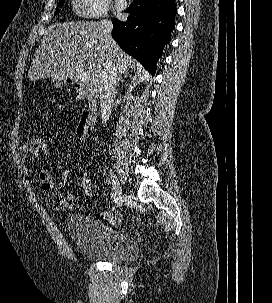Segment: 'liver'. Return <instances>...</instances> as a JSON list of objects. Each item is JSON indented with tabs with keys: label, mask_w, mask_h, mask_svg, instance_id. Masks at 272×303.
Masks as SVG:
<instances>
[{
	"label": "liver",
	"mask_w": 272,
	"mask_h": 303,
	"mask_svg": "<svg viewBox=\"0 0 272 303\" xmlns=\"http://www.w3.org/2000/svg\"><path fill=\"white\" fill-rule=\"evenodd\" d=\"M105 41V34L98 22L53 24L48 27L35 52L28 78L34 82L44 78L61 82L77 77L78 73H85L89 80L84 85L83 95L92 101L99 94L103 62L109 52ZM109 53L119 73L127 72L129 66H138L116 42L110 45Z\"/></svg>",
	"instance_id": "1"
}]
</instances>
